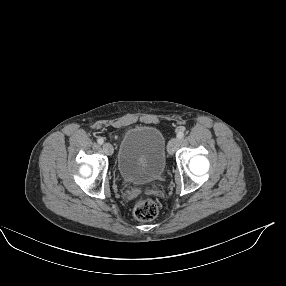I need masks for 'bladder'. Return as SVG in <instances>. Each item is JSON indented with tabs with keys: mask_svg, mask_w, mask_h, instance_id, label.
<instances>
[{
	"mask_svg": "<svg viewBox=\"0 0 286 286\" xmlns=\"http://www.w3.org/2000/svg\"><path fill=\"white\" fill-rule=\"evenodd\" d=\"M166 139L153 126H135L122 136L117 168L127 182H150L162 176L166 166Z\"/></svg>",
	"mask_w": 286,
	"mask_h": 286,
	"instance_id": "31cf9c89",
	"label": "bladder"
}]
</instances>
